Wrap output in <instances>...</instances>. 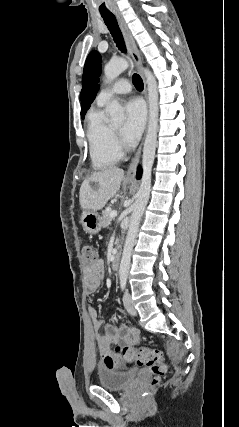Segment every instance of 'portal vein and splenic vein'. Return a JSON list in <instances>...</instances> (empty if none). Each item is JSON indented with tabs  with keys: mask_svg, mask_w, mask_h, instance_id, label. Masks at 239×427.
I'll list each match as a JSON object with an SVG mask.
<instances>
[{
	"mask_svg": "<svg viewBox=\"0 0 239 427\" xmlns=\"http://www.w3.org/2000/svg\"><path fill=\"white\" fill-rule=\"evenodd\" d=\"M116 216H117V211L116 210L111 211L110 217L115 218Z\"/></svg>",
	"mask_w": 239,
	"mask_h": 427,
	"instance_id": "18ae733b",
	"label": "portal vein and splenic vein"
}]
</instances>
